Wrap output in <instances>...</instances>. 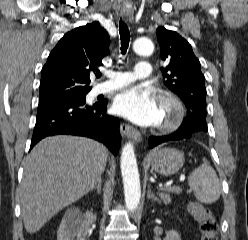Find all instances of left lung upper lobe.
<instances>
[{"mask_svg":"<svg viewBox=\"0 0 248 240\" xmlns=\"http://www.w3.org/2000/svg\"><path fill=\"white\" fill-rule=\"evenodd\" d=\"M161 58L166 66L161 68L169 90L184 102L188 116L179 131H208L206 123L205 77L200 62L191 45L175 31L159 27L156 30Z\"/></svg>","mask_w":248,"mask_h":240,"instance_id":"1","label":"left lung upper lobe"}]
</instances>
